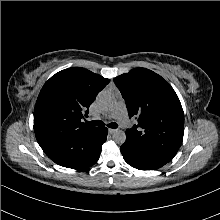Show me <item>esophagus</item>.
I'll return each mask as SVG.
<instances>
[{
	"label": "esophagus",
	"mask_w": 220,
	"mask_h": 220,
	"mask_svg": "<svg viewBox=\"0 0 220 220\" xmlns=\"http://www.w3.org/2000/svg\"><path fill=\"white\" fill-rule=\"evenodd\" d=\"M115 131H116L115 129H111V128L108 129V132H109L110 134H113Z\"/></svg>",
	"instance_id": "34e87169"
}]
</instances>
